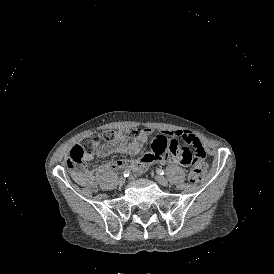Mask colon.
I'll return each mask as SVG.
<instances>
[{
  "instance_id": "colon-1",
  "label": "colon",
  "mask_w": 274,
  "mask_h": 274,
  "mask_svg": "<svg viewBox=\"0 0 274 274\" xmlns=\"http://www.w3.org/2000/svg\"><path fill=\"white\" fill-rule=\"evenodd\" d=\"M137 130L135 128H127L124 130H107L102 133L101 136L94 134L83 139L81 144H76L66 160V165L69 169L77 168L83 160L85 153L93 151L95 145L99 142L100 137L108 142L115 141L116 138L123 135L124 139H134L136 137ZM187 177L188 181L192 184H196L201 179V173L205 171L206 164L202 160H196L195 163L189 166Z\"/></svg>"
}]
</instances>
